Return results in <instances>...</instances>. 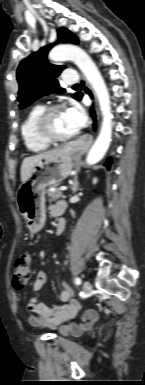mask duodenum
Returning a JSON list of instances; mask_svg holds the SVG:
<instances>
[{"mask_svg":"<svg viewBox=\"0 0 145 385\" xmlns=\"http://www.w3.org/2000/svg\"><path fill=\"white\" fill-rule=\"evenodd\" d=\"M65 227H66V220L62 218L56 224V230H55L56 234L57 235L61 234L64 231Z\"/></svg>","mask_w":145,"mask_h":385,"instance_id":"duodenum-1","label":"duodenum"}]
</instances>
